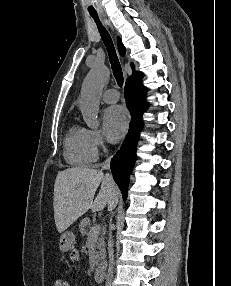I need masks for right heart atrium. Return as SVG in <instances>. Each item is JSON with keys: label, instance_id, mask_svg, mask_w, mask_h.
I'll use <instances>...</instances> for the list:
<instances>
[{"label": "right heart atrium", "instance_id": "right-heart-atrium-1", "mask_svg": "<svg viewBox=\"0 0 231 286\" xmlns=\"http://www.w3.org/2000/svg\"><path fill=\"white\" fill-rule=\"evenodd\" d=\"M89 134H90L91 142L96 150L100 148H104L105 141H104L102 133L99 130L91 129L89 130Z\"/></svg>", "mask_w": 231, "mask_h": 286}]
</instances>
